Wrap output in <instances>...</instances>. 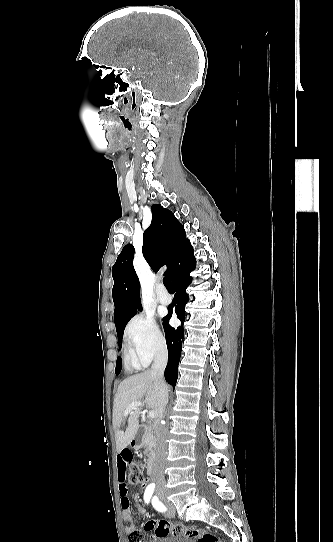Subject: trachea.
Instances as JSON below:
<instances>
[{"mask_svg":"<svg viewBox=\"0 0 333 542\" xmlns=\"http://www.w3.org/2000/svg\"><path fill=\"white\" fill-rule=\"evenodd\" d=\"M163 284L165 285V287L167 289H173V286H172V283H171V280H170V277H164L163 279Z\"/></svg>","mask_w":333,"mask_h":542,"instance_id":"3493384b","label":"trachea"}]
</instances>
